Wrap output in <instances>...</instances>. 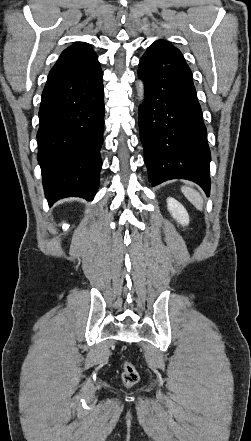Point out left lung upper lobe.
Returning <instances> with one entry per match:
<instances>
[{"mask_svg": "<svg viewBox=\"0 0 251 441\" xmlns=\"http://www.w3.org/2000/svg\"><path fill=\"white\" fill-rule=\"evenodd\" d=\"M154 44L167 45V46L174 47V46L171 45L169 42H167V41H163V40L156 41ZM174 48H175V47H174Z\"/></svg>", "mask_w": 251, "mask_h": 441, "instance_id": "left-lung-upper-lobe-1", "label": "left lung upper lobe"}]
</instances>
